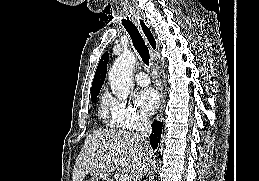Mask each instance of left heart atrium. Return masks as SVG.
I'll return each instance as SVG.
<instances>
[{"label":"left heart atrium","instance_id":"left-heart-atrium-1","mask_svg":"<svg viewBox=\"0 0 259 181\" xmlns=\"http://www.w3.org/2000/svg\"><path fill=\"white\" fill-rule=\"evenodd\" d=\"M135 102L143 113L152 114L159 106L160 97L155 89L146 88L137 93L135 96Z\"/></svg>","mask_w":259,"mask_h":181}]
</instances>
